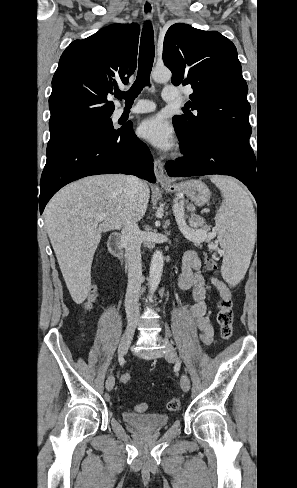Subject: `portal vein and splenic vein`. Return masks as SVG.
Here are the masks:
<instances>
[{
	"label": "portal vein and splenic vein",
	"instance_id": "portal-vein-and-splenic-vein-1",
	"mask_svg": "<svg viewBox=\"0 0 297 488\" xmlns=\"http://www.w3.org/2000/svg\"><path fill=\"white\" fill-rule=\"evenodd\" d=\"M174 209H175V217L178 225L182 230H186L187 228L185 227V222H184V208L183 206L179 205L178 203L174 204ZM106 217V214H100L97 216L96 221H101ZM192 234H196L198 231H195L194 229H188Z\"/></svg>",
	"mask_w": 297,
	"mask_h": 488
}]
</instances>
